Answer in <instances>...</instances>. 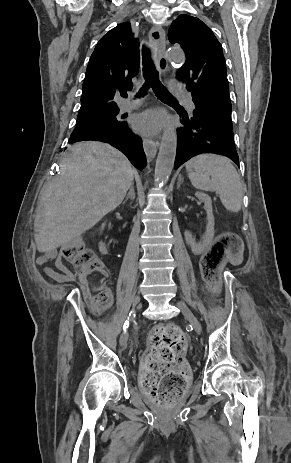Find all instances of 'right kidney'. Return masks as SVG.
<instances>
[{
    "mask_svg": "<svg viewBox=\"0 0 291 463\" xmlns=\"http://www.w3.org/2000/svg\"><path fill=\"white\" fill-rule=\"evenodd\" d=\"M104 227H105V223L102 224L101 230H103ZM99 250H100V252H103V253L106 252V246L102 242L99 244Z\"/></svg>",
    "mask_w": 291,
    "mask_h": 463,
    "instance_id": "ca27d5eb",
    "label": "right kidney"
}]
</instances>
